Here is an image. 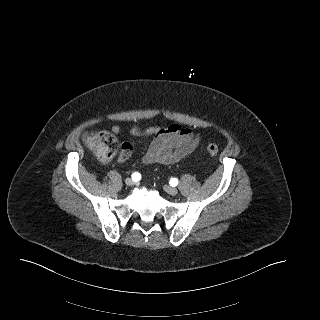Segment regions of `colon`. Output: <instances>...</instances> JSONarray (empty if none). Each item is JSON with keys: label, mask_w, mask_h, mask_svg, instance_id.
I'll use <instances>...</instances> for the list:
<instances>
[{"label": "colon", "mask_w": 320, "mask_h": 320, "mask_svg": "<svg viewBox=\"0 0 320 320\" xmlns=\"http://www.w3.org/2000/svg\"><path fill=\"white\" fill-rule=\"evenodd\" d=\"M86 140L101 160H109L113 158L119 148V144L115 136L108 131H100L91 134L87 136ZM206 150L211 156H216L219 152L218 146L214 143H208ZM121 154L122 150L119 157H121Z\"/></svg>", "instance_id": "1"}]
</instances>
